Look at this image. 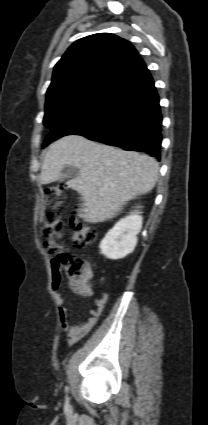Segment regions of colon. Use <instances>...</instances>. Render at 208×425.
I'll use <instances>...</instances> for the list:
<instances>
[{
    "label": "colon",
    "mask_w": 208,
    "mask_h": 425,
    "mask_svg": "<svg viewBox=\"0 0 208 425\" xmlns=\"http://www.w3.org/2000/svg\"><path fill=\"white\" fill-rule=\"evenodd\" d=\"M64 186L56 185L45 190L46 206L42 216V231L45 237L44 248L53 257V271L60 275L63 271L75 290L81 291L87 278L85 261L72 253L65 251L60 243L63 234V223L59 214ZM72 242L82 248L96 240V229L79 220H73L71 225Z\"/></svg>",
    "instance_id": "colon-1"
}]
</instances>
